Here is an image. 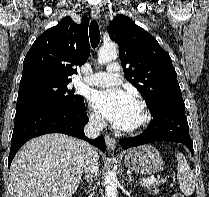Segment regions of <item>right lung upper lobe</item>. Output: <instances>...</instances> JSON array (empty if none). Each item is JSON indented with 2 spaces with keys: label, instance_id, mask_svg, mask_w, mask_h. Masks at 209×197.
<instances>
[{
  "label": "right lung upper lobe",
  "instance_id": "right-lung-upper-lobe-1",
  "mask_svg": "<svg viewBox=\"0 0 209 197\" xmlns=\"http://www.w3.org/2000/svg\"><path fill=\"white\" fill-rule=\"evenodd\" d=\"M88 22L81 24L71 17L63 18L56 26L41 34L31 46L23 61L20 84L39 80H71L89 57Z\"/></svg>",
  "mask_w": 209,
  "mask_h": 197
}]
</instances>
